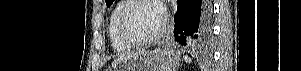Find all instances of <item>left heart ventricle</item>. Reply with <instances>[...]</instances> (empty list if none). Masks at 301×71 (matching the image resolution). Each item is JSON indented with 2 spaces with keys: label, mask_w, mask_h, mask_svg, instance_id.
I'll list each match as a JSON object with an SVG mask.
<instances>
[{
  "label": "left heart ventricle",
  "mask_w": 301,
  "mask_h": 71,
  "mask_svg": "<svg viewBox=\"0 0 301 71\" xmlns=\"http://www.w3.org/2000/svg\"><path fill=\"white\" fill-rule=\"evenodd\" d=\"M162 22L161 10L151 3L142 2L130 10L127 17V28L133 37L142 39L157 33Z\"/></svg>",
  "instance_id": "left-heart-ventricle-1"
}]
</instances>
